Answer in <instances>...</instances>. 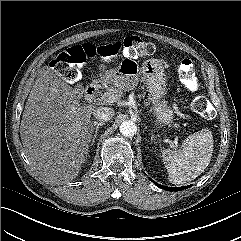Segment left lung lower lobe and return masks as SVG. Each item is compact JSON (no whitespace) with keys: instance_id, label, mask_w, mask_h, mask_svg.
Instances as JSON below:
<instances>
[{"instance_id":"obj_1","label":"left lung lower lobe","mask_w":241,"mask_h":241,"mask_svg":"<svg viewBox=\"0 0 241 241\" xmlns=\"http://www.w3.org/2000/svg\"><path fill=\"white\" fill-rule=\"evenodd\" d=\"M155 183V182H154ZM158 187L164 189V190H167V191H181V190H184V189H187L189 188L190 186H185V187H166V186H163V185H159L157 183H155Z\"/></svg>"}]
</instances>
